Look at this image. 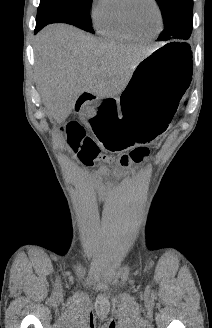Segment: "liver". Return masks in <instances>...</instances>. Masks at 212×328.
Segmentation results:
<instances>
[{
    "label": "liver",
    "instance_id": "liver-1",
    "mask_svg": "<svg viewBox=\"0 0 212 328\" xmlns=\"http://www.w3.org/2000/svg\"><path fill=\"white\" fill-rule=\"evenodd\" d=\"M152 51L105 41L69 25H49L35 45L43 103L61 123L84 92L102 98L120 94L136 65Z\"/></svg>",
    "mask_w": 212,
    "mask_h": 328
}]
</instances>
